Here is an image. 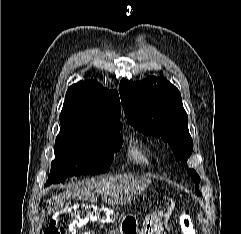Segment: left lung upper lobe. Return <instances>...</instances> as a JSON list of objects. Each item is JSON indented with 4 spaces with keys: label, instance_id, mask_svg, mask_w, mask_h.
I'll use <instances>...</instances> for the list:
<instances>
[{
    "label": "left lung upper lobe",
    "instance_id": "5c2ea615",
    "mask_svg": "<svg viewBox=\"0 0 241 234\" xmlns=\"http://www.w3.org/2000/svg\"><path fill=\"white\" fill-rule=\"evenodd\" d=\"M119 93L129 123L143 134L161 137L178 161H187L192 154L193 140L179 90L166 78L149 76L140 82L123 79ZM188 174L195 182L196 194L201 196L200 177L192 169Z\"/></svg>",
    "mask_w": 241,
    "mask_h": 234
}]
</instances>
